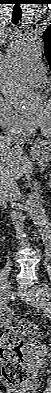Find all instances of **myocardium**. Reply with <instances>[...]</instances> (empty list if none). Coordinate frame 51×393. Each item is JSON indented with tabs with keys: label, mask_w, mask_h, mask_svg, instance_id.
I'll use <instances>...</instances> for the list:
<instances>
[{
	"label": "myocardium",
	"mask_w": 51,
	"mask_h": 393,
	"mask_svg": "<svg viewBox=\"0 0 51 393\" xmlns=\"http://www.w3.org/2000/svg\"><path fill=\"white\" fill-rule=\"evenodd\" d=\"M49 102L51 103V99L49 100ZM38 127L43 136L45 137L51 136V131L46 130L40 123H38Z\"/></svg>",
	"instance_id": "1"
}]
</instances>
